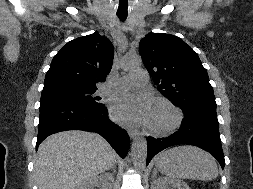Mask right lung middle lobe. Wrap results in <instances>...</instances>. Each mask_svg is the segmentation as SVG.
I'll use <instances>...</instances> for the list:
<instances>
[{
  "instance_id": "obj_1",
  "label": "right lung middle lobe",
  "mask_w": 253,
  "mask_h": 189,
  "mask_svg": "<svg viewBox=\"0 0 253 189\" xmlns=\"http://www.w3.org/2000/svg\"><path fill=\"white\" fill-rule=\"evenodd\" d=\"M97 88H55L43 90L40 102H70L88 106H102L92 94Z\"/></svg>"
}]
</instances>
